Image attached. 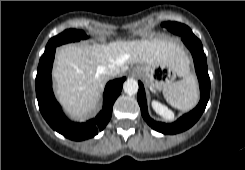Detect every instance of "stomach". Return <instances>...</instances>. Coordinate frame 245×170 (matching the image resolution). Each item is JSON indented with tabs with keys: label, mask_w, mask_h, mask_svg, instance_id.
Here are the masks:
<instances>
[{
	"label": "stomach",
	"mask_w": 245,
	"mask_h": 170,
	"mask_svg": "<svg viewBox=\"0 0 245 170\" xmlns=\"http://www.w3.org/2000/svg\"><path fill=\"white\" fill-rule=\"evenodd\" d=\"M135 70L154 92L165 89L177 76L175 68L170 64L141 65Z\"/></svg>",
	"instance_id": "stomach-1"
}]
</instances>
